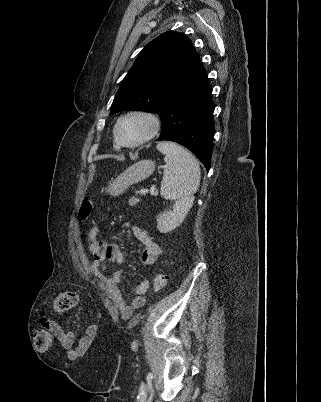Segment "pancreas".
<instances>
[{
  "label": "pancreas",
  "mask_w": 321,
  "mask_h": 402,
  "mask_svg": "<svg viewBox=\"0 0 321 402\" xmlns=\"http://www.w3.org/2000/svg\"><path fill=\"white\" fill-rule=\"evenodd\" d=\"M138 202H139V199H137V198H135V197H132V198L129 199V205H130V206H134V205H136Z\"/></svg>",
  "instance_id": "obj_1"
}]
</instances>
